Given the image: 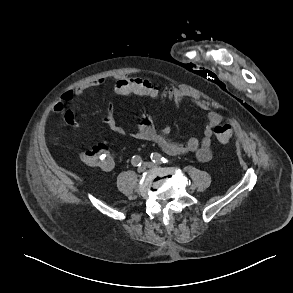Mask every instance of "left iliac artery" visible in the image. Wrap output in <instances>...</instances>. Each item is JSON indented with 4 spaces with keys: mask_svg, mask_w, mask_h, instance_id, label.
I'll return each instance as SVG.
<instances>
[{
    "mask_svg": "<svg viewBox=\"0 0 293 293\" xmlns=\"http://www.w3.org/2000/svg\"><path fill=\"white\" fill-rule=\"evenodd\" d=\"M151 160L154 162V163H158V164H165V163H168L169 160L165 157H163L161 154L157 153V152H154L151 154Z\"/></svg>",
    "mask_w": 293,
    "mask_h": 293,
    "instance_id": "44dca946",
    "label": "left iliac artery"
}]
</instances>
